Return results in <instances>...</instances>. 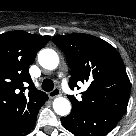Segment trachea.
I'll return each instance as SVG.
<instances>
[{
	"mask_svg": "<svg viewBox=\"0 0 136 136\" xmlns=\"http://www.w3.org/2000/svg\"><path fill=\"white\" fill-rule=\"evenodd\" d=\"M54 88V83L52 80L50 79H45L43 82H42V89L44 91H51L52 89Z\"/></svg>",
	"mask_w": 136,
	"mask_h": 136,
	"instance_id": "obj_1",
	"label": "trachea"
}]
</instances>
